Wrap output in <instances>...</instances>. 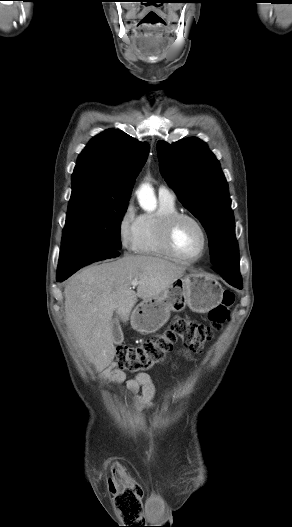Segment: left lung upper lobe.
Instances as JSON below:
<instances>
[{
	"mask_svg": "<svg viewBox=\"0 0 292 527\" xmlns=\"http://www.w3.org/2000/svg\"><path fill=\"white\" fill-rule=\"evenodd\" d=\"M157 151L165 181L207 232L212 264L239 267L228 184L214 154L195 137L158 141Z\"/></svg>",
	"mask_w": 292,
	"mask_h": 527,
	"instance_id": "5c2ea615",
	"label": "left lung upper lobe"
}]
</instances>
